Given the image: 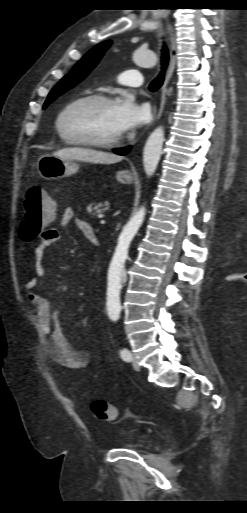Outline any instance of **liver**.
I'll use <instances>...</instances> for the list:
<instances>
[{"instance_id":"1","label":"liver","mask_w":247,"mask_h":513,"mask_svg":"<svg viewBox=\"0 0 247 513\" xmlns=\"http://www.w3.org/2000/svg\"><path fill=\"white\" fill-rule=\"evenodd\" d=\"M53 155L65 160L74 159L100 164H112L122 160L121 156L113 153L81 147L64 148L54 152Z\"/></svg>"}]
</instances>
